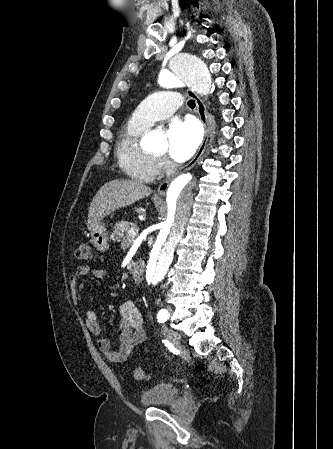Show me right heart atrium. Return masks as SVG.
I'll return each mask as SVG.
<instances>
[{
    "label": "right heart atrium",
    "mask_w": 333,
    "mask_h": 449,
    "mask_svg": "<svg viewBox=\"0 0 333 449\" xmlns=\"http://www.w3.org/2000/svg\"><path fill=\"white\" fill-rule=\"evenodd\" d=\"M157 166L159 171H163L168 167V162L166 161V159L159 157L157 158Z\"/></svg>",
    "instance_id": "1"
}]
</instances>
